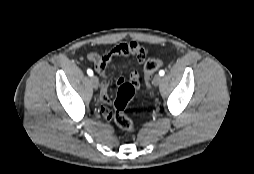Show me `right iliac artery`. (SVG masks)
<instances>
[{"label":"right iliac artery","instance_id":"82829eb1","mask_svg":"<svg viewBox=\"0 0 254 174\" xmlns=\"http://www.w3.org/2000/svg\"><path fill=\"white\" fill-rule=\"evenodd\" d=\"M87 74H88L89 76H93V71H92L91 69H88V70H87Z\"/></svg>","mask_w":254,"mask_h":174}]
</instances>
